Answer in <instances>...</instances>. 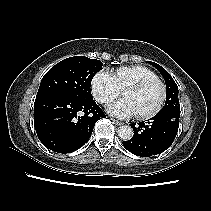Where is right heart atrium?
Segmentation results:
<instances>
[{"instance_id":"d8ad5b80","label":"right heart atrium","mask_w":211,"mask_h":211,"mask_svg":"<svg viewBox=\"0 0 211 211\" xmlns=\"http://www.w3.org/2000/svg\"><path fill=\"white\" fill-rule=\"evenodd\" d=\"M91 92L97 102L107 104L120 95L121 88L114 75L102 69L91 79Z\"/></svg>"}]
</instances>
